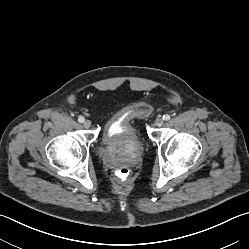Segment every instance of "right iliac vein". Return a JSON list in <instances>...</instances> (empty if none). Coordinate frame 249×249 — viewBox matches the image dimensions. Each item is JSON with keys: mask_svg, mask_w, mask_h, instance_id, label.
Listing matches in <instances>:
<instances>
[{"mask_svg": "<svg viewBox=\"0 0 249 249\" xmlns=\"http://www.w3.org/2000/svg\"><path fill=\"white\" fill-rule=\"evenodd\" d=\"M83 125H84V127H85V128H87V129H88V128H90V127H91L92 123H91V121H90V120H85V121H84V123H83Z\"/></svg>", "mask_w": 249, "mask_h": 249, "instance_id": "1", "label": "right iliac vein"}]
</instances>
